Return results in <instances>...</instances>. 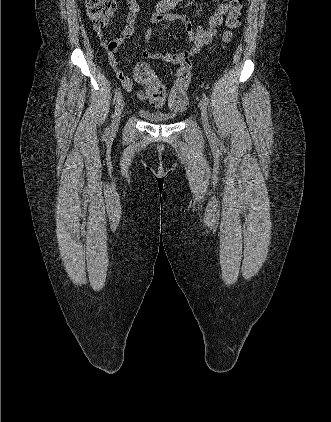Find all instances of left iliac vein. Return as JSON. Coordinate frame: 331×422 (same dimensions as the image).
Returning <instances> with one entry per match:
<instances>
[{
    "label": "left iliac vein",
    "mask_w": 331,
    "mask_h": 422,
    "mask_svg": "<svg viewBox=\"0 0 331 422\" xmlns=\"http://www.w3.org/2000/svg\"><path fill=\"white\" fill-rule=\"evenodd\" d=\"M199 107H200V112H201V119H202L203 128L206 132H210V125H209V121H208L207 108H206V104H205L204 100L200 101Z\"/></svg>",
    "instance_id": "1"
}]
</instances>
